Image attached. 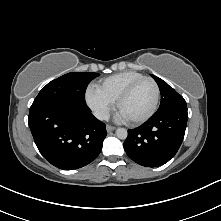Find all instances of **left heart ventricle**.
I'll return each mask as SVG.
<instances>
[{"label": "left heart ventricle", "instance_id": "1", "mask_svg": "<svg viewBox=\"0 0 221 221\" xmlns=\"http://www.w3.org/2000/svg\"><path fill=\"white\" fill-rule=\"evenodd\" d=\"M155 98V88L150 81L139 83L131 95L120 107L127 120H133L145 115L152 107Z\"/></svg>", "mask_w": 221, "mask_h": 221}]
</instances>
